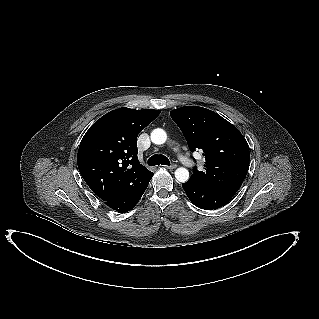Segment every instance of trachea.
Returning a JSON list of instances; mask_svg holds the SVG:
<instances>
[{
    "label": "trachea",
    "instance_id": "trachea-1",
    "mask_svg": "<svg viewBox=\"0 0 319 319\" xmlns=\"http://www.w3.org/2000/svg\"><path fill=\"white\" fill-rule=\"evenodd\" d=\"M170 165V162H169V159L162 155V154H155L153 156H151L149 159H148V165L149 166H155V165Z\"/></svg>",
    "mask_w": 319,
    "mask_h": 319
}]
</instances>
